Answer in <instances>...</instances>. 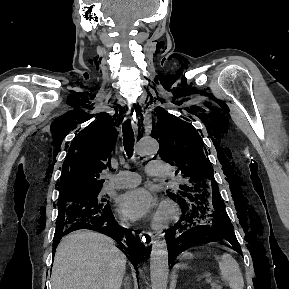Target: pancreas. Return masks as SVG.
<instances>
[{
    "label": "pancreas",
    "mask_w": 289,
    "mask_h": 289,
    "mask_svg": "<svg viewBox=\"0 0 289 289\" xmlns=\"http://www.w3.org/2000/svg\"><path fill=\"white\" fill-rule=\"evenodd\" d=\"M211 286H212V289H222V287L216 283H213Z\"/></svg>",
    "instance_id": "obj_1"
}]
</instances>
